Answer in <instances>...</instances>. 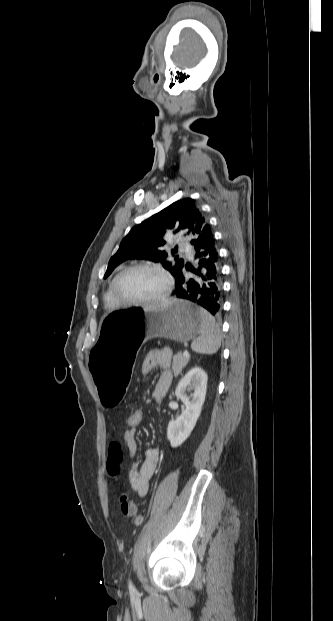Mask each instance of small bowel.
<instances>
[{
	"mask_svg": "<svg viewBox=\"0 0 333 621\" xmlns=\"http://www.w3.org/2000/svg\"><path fill=\"white\" fill-rule=\"evenodd\" d=\"M156 367H161L163 372L155 383L153 390V398L159 401L169 390L172 382V374L170 371V355L168 352L157 350L149 351L142 363V372L150 373ZM136 427L127 429L124 436L125 445L131 456L137 451V442L135 439ZM122 452L119 444L113 443L108 451V472L111 476L118 474L122 461ZM159 460L158 451L154 448H148L142 460L136 461L129 471V483L132 490L138 496H145L148 492L149 481L153 476Z\"/></svg>",
	"mask_w": 333,
	"mask_h": 621,
	"instance_id": "1",
	"label": "small bowel"
}]
</instances>
